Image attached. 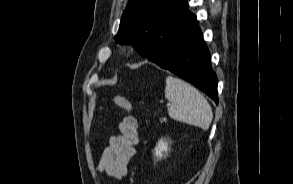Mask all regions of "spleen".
Returning a JSON list of instances; mask_svg holds the SVG:
<instances>
[{"instance_id": "spleen-1", "label": "spleen", "mask_w": 293, "mask_h": 184, "mask_svg": "<svg viewBox=\"0 0 293 184\" xmlns=\"http://www.w3.org/2000/svg\"><path fill=\"white\" fill-rule=\"evenodd\" d=\"M165 97L171 103L169 116L183 123L207 130L213 119L210 104L189 83L172 76L166 78Z\"/></svg>"}]
</instances>
